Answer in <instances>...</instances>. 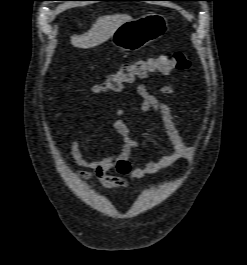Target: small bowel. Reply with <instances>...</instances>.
Returning a JSON list of instances; mask_svg holds the SVG:
<instances>
[{
    "instance_id": "small-bowel-1",
    "label": "small bowel",
    "mask_w": 247,
    "mask_h": 265,
    "mask_svg": "<svg viewBox=\"0 0 247 265\" xmlns=\"http://www.w3.org/2000/svg\"><path fill=\"white\" fill-rule=\"evenodd\" d=\"M174 91L173 84H166L161 88V94L164 96L171 95ZM137 92L142 99L140 111L153 112L159 116L164 134L172 146V152L142 167H132L129 156L137 149L138 143L132 139L126 124L121 119L124 110L118 107L115 110L118 119L114 121L113 129L118 136L119 146L114 153L100 160H86L82 155L81 143L72 142L70 153L75 163L82 168L78 170L81 179L96 180L107 189L123 190L127 189L133 180L156 174L173 166L179 160H189L193 157V148L179 134L168 104L144 84L137 86ZM111 171H116L118 175L111 174Z\"/></svg>"
}]
</instances>
